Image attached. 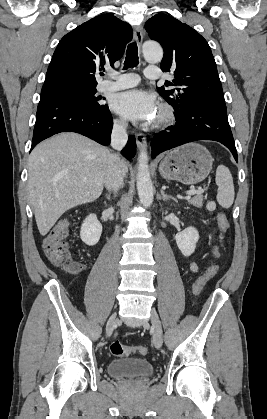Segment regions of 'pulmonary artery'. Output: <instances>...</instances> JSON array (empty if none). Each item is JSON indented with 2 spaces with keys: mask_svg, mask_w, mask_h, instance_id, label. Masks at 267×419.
Wrapping results in <instances>:
<instances>
[{
  "mask_svg": "<svg viewBox=\"0 0 267 419\" xmlns=\"http://www.w3.org/2000/svg\"><path fill=\"white\" fill-rule=\"evenodd\" d=\"M145 76L149 79H158L160 78V70L155 66H148L145 69ZM109 80L103 81L99 85V90L102 92L105 91H117L126 88L133 87L138 84L139 77L134 73H109Z\"/></svg>",
  "mask_w": 267,
  "mask_h": 419,
  "instance_id": "e3ab8cb5",
  "label": "pulmonary artery"
}]
</instances>
